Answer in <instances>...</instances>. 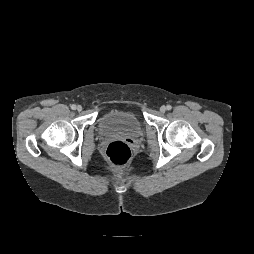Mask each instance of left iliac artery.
I'll return each instance as SVG.
<instances>
[{
    "mask_svg": "<svg viewBox=\"0 0 254 254\" xmlns=\"http://www.w3.org/2000/svg\"><path fill=\"white\" fill-rule=\"evenodd\" d=\"M166 109H167V110H171V109H172V106H171V105H167V106H166Z\"/></svg>",
    "mask_w": 254,
    "mask_h": 254,
    "instance_id": "left-iliac-artery-1",
    "label": "left iliac artery"
}]
</instances>
